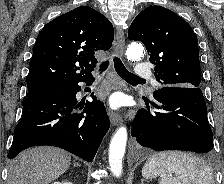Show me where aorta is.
<instances>
[{
  "instance_id": "aorta-1",
  "label": "aorta",
  "mask_w": 224,
  "mask_h": 184,
  "mask_svg": "<svg viewBox=\"0 0 224 184\" xmlns=\"http://www.w3.org/2000/svg\"><path fill=\"white\" fill-rule=\"evenodd\" d=\"M144 48L141 44L133 42L126 49V57L131 61H139L143 57ZM127 142V129L120 127L114 134L109 147V165L112 173L119 177L122 173V159Z\"/></svg>"
}]
</instances>
